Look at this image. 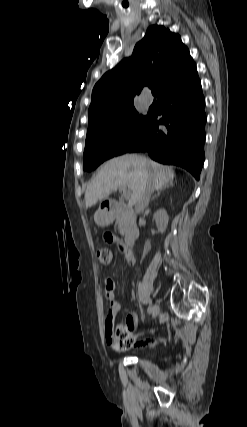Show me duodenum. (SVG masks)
I'll use <instances>...</instances> for the list:
<instances>
[{"instance_id": "410a0bca", "label": "duodenum", "mask_w": 247, "mask_h": 427, "mask_svg": "<svg viewBox=\"0 0 247 427\" xmlns=\"http://www.w3.org/2000/svg\"><path fill=\"white\" fill-rule=\"evenodd\" d=\"M103 211L109 217L124 215L128 219V225L124 236V245L132 247L139 236V228L135 221L133 209L118 201H107L103 204Z\"/></svg>"}]
</instances>
